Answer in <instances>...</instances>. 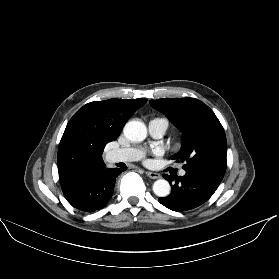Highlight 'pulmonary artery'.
<instances>
[{"label": "pulmonary artery", "instance_id": "1", "mask_svg": "<svg viewBox=\"0 0 279 279\" xmlns=\"http://www.w3.org/2000/svg\"><path fill=\"white\" fill-rule=\"evenodd\" d=\"M168 123L165 119H153L149 122V133L154 138H161L166 130ZM142 157V151L136 147L119 148L109 152L108 160L110 162H131L139 160ZM185 174L184 170L180 171V175Z\"/></svg>", "mask_w": 279, "mask_h": 279}]
</instances>
